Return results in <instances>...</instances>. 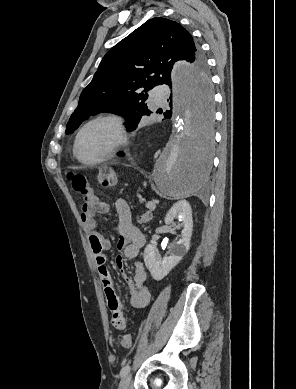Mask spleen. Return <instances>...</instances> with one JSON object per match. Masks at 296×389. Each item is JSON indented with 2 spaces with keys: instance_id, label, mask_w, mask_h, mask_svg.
<instances>
[{
  "instance_id": "spleen-1",
  "label": "spleen",
  "mask_w": 296,
  "mask_h": 389,
  "mask_svg": "<svg viewBox=\"0 0 296 389\" xmlns=\"http://www.w3.org/2000/svg\"><path fill=\"white\" fill-rule=\"evenodd\" d=\"M195 189V185H192V191Z\"/></svg>"
}]
</instances>
